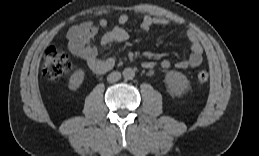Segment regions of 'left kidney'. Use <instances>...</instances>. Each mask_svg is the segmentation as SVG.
Listing matches in <instances>:
<instances>
[{"instance_id":"1","label":"left kidney","mask_w":259,"mask_h":156,"mask_svg":"<svg viewBox=\"0 0 259 156\" xmlns=\"http://www.w3.org/2000/svg\"><path fill=\"white\" fill-rule=\"evenodd\" d=\"M167 91L171 95L181 96L189 89V80L178 71H169L165 76Z\"/></svg>"}]
</instances>
